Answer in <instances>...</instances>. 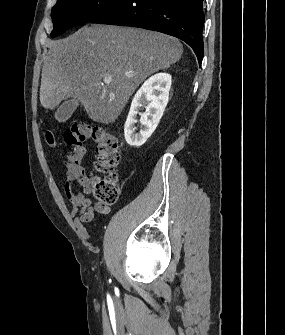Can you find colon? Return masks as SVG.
<instances>
[{
    "mask_svg": "<svg viewBox=\"0 0 285 335\" xmlns=\"http://www.w3.org/2000/svg\"><path fill=\"white\" fill-rule=\"evenodd\" d=\"M43 137L48 146H56V137L50 129L43 130ZM64 140L72 148L68 156L69 163L77 165L85 153L84 143L88 140L95 143L97 152L95 168L104 176L92 180V191L100 203L115 204L120 194L119 177L116 172L120 161V143L117 137L103 127L79 121L65 131Z\"/></svg>",
    "mask_w": 285,
    "mask_h": 335,
    "instance_id": "colon-1",
    "label": "colon"
}]
</instances>
